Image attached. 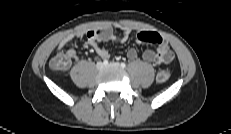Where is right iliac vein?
<instances>
[{
  "instance_id": "obj_1",
  "label": "right iliac vein",
  "mask_w": 231,
  "mask_h": 134,
  "mask_svg": "<svg viewBox=\"0 0 231 134\" xmlns=\"http://www.w3.org/2000/svg\"><path fill=\"white\" fill-rule=\"evenodd\" d=\"M96 68H97V70H103L104 69V64L103 63H101V62H98L97 64H96Z\"/></svg>"
}]
</instances>
